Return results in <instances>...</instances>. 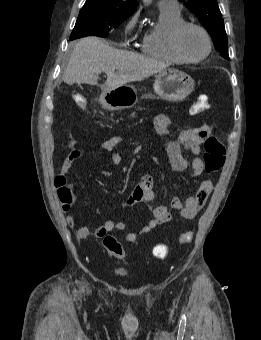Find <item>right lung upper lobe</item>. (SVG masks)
Instances as JSON below:
<instances>
[{
  "label": "right lung upper lobe",
  "instance_id": "right-lung-upper-lobe-1",
  "mask_svg": "<svg viewBox=\"0 0 261 340\" xmlns=\"http://www.w3.org/2000/svg\"><path fill=\"white\" fill-rule=\"evenodd\" d=\"M137 0H86L84 6L104 8L117 14L130 16L135 11Z\"/></svg>",
  "mask_w": 261,
  "mask_h": 340
}]
</instances>
